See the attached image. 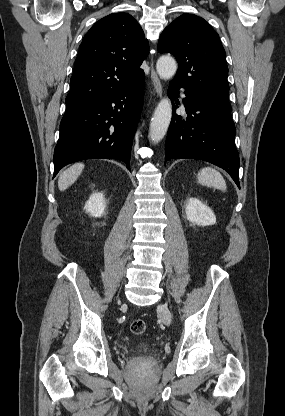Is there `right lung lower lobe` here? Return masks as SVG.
<instances>
[{"mask_svg": "<svg viewBox=\"0 0 285 416\" xmlns=\"http://www.w3.org/2000/svg\"><path fill=\"white\" fill-rule=\"evenodd\" d=\"M144 77L105 99L66 109L54 150V176L85 159H116L130 170L133 137L140 118Z\"/></svg>", "mask_w": 285, "mask_h": 416, "instance_id": "98d812e1", "label": "right lung lower lobe"}]
</instances>
